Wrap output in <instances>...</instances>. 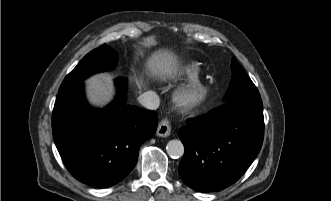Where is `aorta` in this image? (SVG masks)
I'll return each mask as SVG.
<instances>
[{"mask_svg": "<svg viewBox=\"0 0 331 201\" xmlns=\"http://www.w3.org/2000/svg\"><path fill=\"white\" fill-rule=\"evenodd\" d=\"M167 154L172 158H179L184 154V146L180 140H170L166 146Z\"/></svg>", "mask_w": 331, "mask_h": 201, "instance_id": "obj_1", "label": "aorta"}]
</instances>
